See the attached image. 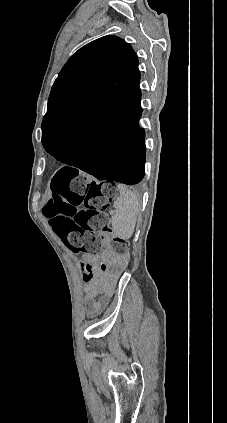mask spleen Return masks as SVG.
Returning <instances> with one entry per match:
<instances>
[{
	"instance_id": "spleen-1",
	"label": "spleen",
	"mask_w": 227,
	"mask_h": 423,
	"mask_svg": "<svg viewBox=\"0 0 227 423\" xmlns=\"http://www.w3.org/2000/svg\"><path fill=\"white\" fill-rule=\"evenodd\" d=\"M118 188L120 196L113 204L115 213L111 217V223L117 237L129 239L134 233L138 213L141 210V200L122 184H118Z\"/></svg>"
}]
</instances>
